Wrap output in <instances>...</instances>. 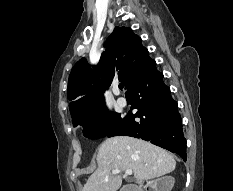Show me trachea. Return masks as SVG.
<instances>
[{"label":"trachea","instance_id":"3493384b","mask_svg":"<svg viewBox=\"0 0 233 191\" xmlns=\"http://www.w3.org/2000/svg\"><path fill=\"white\" fill-rule=\"evenodd\" d=\"M123 87H124V85L121 83V84H119V89H123Z\"/></svg>","mask_w":233,"mask_h":191}]
</instances>
